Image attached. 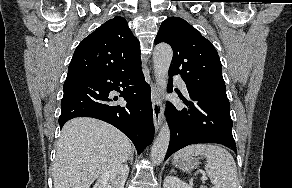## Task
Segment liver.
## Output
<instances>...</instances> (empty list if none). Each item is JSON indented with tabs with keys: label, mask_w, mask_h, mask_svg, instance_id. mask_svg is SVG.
<instances>
[{
	"label": "liver",
	"mask_w": 292,
	"mask_h": 188,
	"mask_svg": "<svg viewBox=\"0 0 292 188\" xmlns=\"http://www.w3.org/2000/svg\"><path fill=\"white\" fill-rule=\"evenodd\" d=\"M131 154V141L115 127L94 118H74L65 123L57 142L54 188H89Z\"/></svg>",
	"instance_id": "liver-1"
}]
</instances>
